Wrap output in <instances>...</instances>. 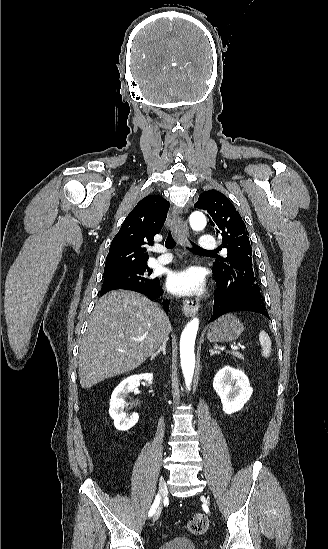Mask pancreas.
I'll return each mask as SVG.
<instances>
[{"label":"pancreas","instance_id":"obj_1","mask_svg":"<svg viewBox=\"0 0 328 549\" xmlns=\"http://www.w3.org/2000/svg\"><path fill=\"white\" fill-rule=\"evenodd\" d=\"M230 355H233V357H237V359H244V355H242V353H238V351H232Z\"/></svg>","mask_w":328,"mask_h":549}]
</instances>
